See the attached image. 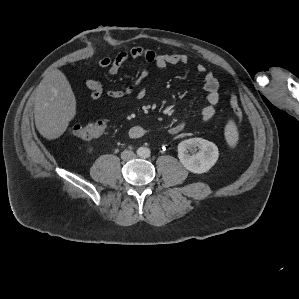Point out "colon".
<instances>
[{"instance_id": "1", "label": "colon", "mask_w": 299, "mask_h": 299, "mask_svg": "<svg viewBox=\"0 0 299 299\" xmlns=\"http://www.w3.org/2000/svg\"><path fill=\"white\" fill-rule=\"evenodd\" d=\"M230 105L232 112L240 125L242 122V108L238 97L232 94L230 97ZM107 130V122L105 120H98L95 122H89L85 124H77L69 129V132L81 139H93L103 135Z\"/></svg>"}]
</instances>
